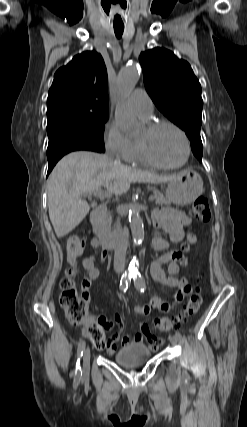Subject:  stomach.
<instances>
[{"instance_id": "0dacf381", "label": "stomach", "mask_w": 247, "mask_h": 427, "mask_svg": "<svg viewBox=\"0 0 247 427\" xmlns=\"http://www.w3.org/2000/svg\"><path fill=\"white\" fill-rule=\"evenodd\" d=\"M203 180L194 170L179 172L168 183L166 198L176 205L193 203L203 193Z\"/></svg>"}]
</instances>
